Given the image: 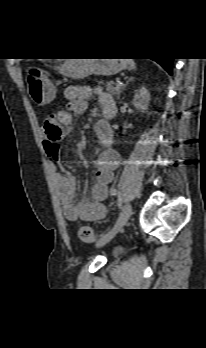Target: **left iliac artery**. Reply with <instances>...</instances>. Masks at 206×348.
I'll use <instances>...</instances> for the list:
<instances>
[{
	"mask_svg": "<svg viewBox=\"0 0 206 348\" xmlns=\"http://www.w3.org/2000/svg\"><path fill=\"white\" fill-rule=\"evenodd\" d=\"M111 194L116 196L117 195V190L116 189H112L111 190Z\"/></svg>",
	"mask_w": 206,
	"mask_h": 348,
	"instance_id": "1",
	"label": "left iliac artery"
}]
</instances>
